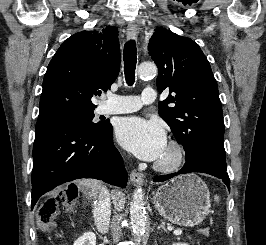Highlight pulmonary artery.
Here are the masks:
<instances>
[{
  "mask_svg": "<svg viewBox=\"0 0 266 245\" xmlns=\"http://www.w3.org/2000/svg\"><path fill=\"white\" fill-rule=\"evenodd\" d=\"M143 101L146 104L157 101V91H153V86H146V91H142V96H120L109 93L107 101L101 105L100 110L103 114L135 112L142 107Z\"/></svg>",
  "mask_w": 266,
  "mask_h": 245,
  "instance_id": "pulmonary-artery-1",
  "label": "pulmonary artery"
}]
</instances>
